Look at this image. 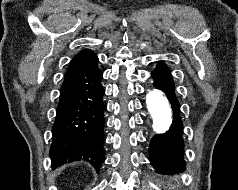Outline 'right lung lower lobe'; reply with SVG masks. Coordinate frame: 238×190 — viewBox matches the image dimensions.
<instances>
[{"label":"right lung lower lobe","mask_w":238,"mask_h":190,"mask_svg":"<svg viewBox=\"0 0 238 190\" xmlns=\"http://www.w3.org/2000/svg\"><path fill=\"white\" fill-rule=\"evenodd\" d=\"M98 59L64 77L52 128V167L75 160L89 161L97 170L104 161V88Z\"/></svg>","instance_id":"right-lung-lower-lobe-1"}]
</instances>
